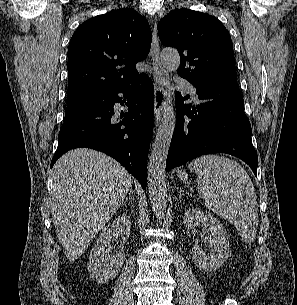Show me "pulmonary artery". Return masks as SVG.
I'll return each instance as SVG.
<instances>
[{
  "label": "pulmonary artery",
  "mask_w": 297,
  "mask_h": 305,
  "mask_svg": "<svg viewBox=\"0 0 297 305\" xmlns=\"http://www.w3.org/2000/svg\"><path fill=\"white\" fill-rule=\"evenodd\" d=\"M177 81L181 83L184 86V88L188 91V93H190L193 97L196 96V89L192 84H190L184 79H178Z\"/></svg>",
  "instance_id": "pulmonary-artery-1"
}]
</instances>
